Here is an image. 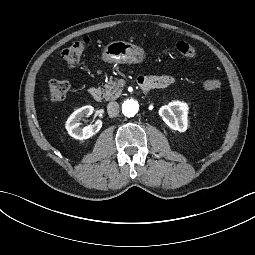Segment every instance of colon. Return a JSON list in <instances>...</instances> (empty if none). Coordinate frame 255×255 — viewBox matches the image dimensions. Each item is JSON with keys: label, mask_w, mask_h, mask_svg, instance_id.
I'll list each match as a JSON object with an SVG mask.
<instances>
[{"label": "colon", "mask_w": 255, "mask_h": 255, "mask_svg": "<svg viewBox=\"0 0 255 255\" xmlns=\"http://www.w3.org/2000/svg\"><path fill=\"white\" fill-rule=\"evenodd\" d=\"M89 40L84 38L80 41H76L73 44L66 47L61 53L62 64L72 68L77 65L86 49ZM177 51L188 58H192L196 55V47L184 41H180L176 44ZM221 83L218 80L212 79L204 82L203 87L206 90H215L220 88ZM49 97L53 102L63 101L69 90L70 83L67 80L53 79L49 82Z\"/></svg>", "instance_id": "1"}]
</instances>
